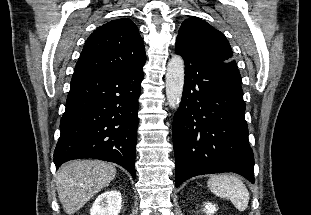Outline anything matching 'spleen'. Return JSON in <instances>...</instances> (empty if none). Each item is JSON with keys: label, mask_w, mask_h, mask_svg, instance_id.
Wrapping results in <instances>:
<instances>
[{"label": "spleen", "mask_w": 311, "mask_h": 215, "mask_svg": "<svg viewBox=\"0 0 311 215\" xmlns=\"http://www.w3.org/2000/svg\"><path fill=\"white\" fill-rule=\"evenodd\" d=\"M208 188L216 196L229 199L235 208L244 211L249 203V191L236 176L228 174L213 175L207 182Z\"/></svg>", "instance_id": "obj_1"}]
</instances>
